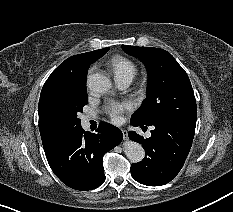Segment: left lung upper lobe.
<instances>
[{"label": "left lung upper lobe", "instance_id": "5c2ea615", "mask_svg": "<svg viewBox=\"0 0 233 212\" xmlns=\"http://www.w3.org/2000/svg\"><path fill=\"white\" fill-rule=\"evenodd\" d=\"M121 47L139 58L148 71L147 96L131 120L147 126L163 118L196 123L194 92L187 73L174 57L158 48Z\"/></svg>", "mask_w": 233, "mask_h": 212}]
</instances>
